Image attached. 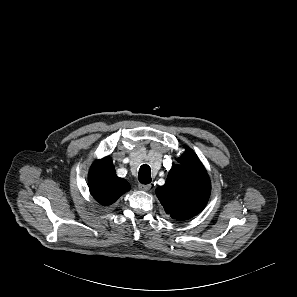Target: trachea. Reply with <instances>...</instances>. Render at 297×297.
<instances>
[{
    "instance_id": "trachea-1",
    "label": "trachea",
    "mask_w": 297,
    "mask_h": 297,
    "mask_svg": "<svg viewBox=\"0 0 297 297\" xmlns=\"http://www.w3.org/2000/svg\"><path fill=\"white\" fill-rule=\"evenodd\" d=\"M138 179L142 184H149L151 182V170L149 165L143 164L140 167Z\"/></svg>"
}]
</instances>
